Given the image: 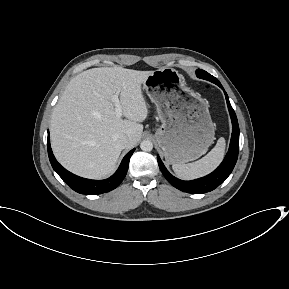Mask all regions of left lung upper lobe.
I'll use <instances>...</instances> for the list:
<instances>
[{"label": "left lung upper lobe", "instance_id": "obj_1", "mask_svg": "<svg viewBox=\"0 0 289 289\" xmlns=\"http://www.w3.org/2000/svg\"><path fill=\"white\" fill-rule=\"evenodd\" d=\"M196 75H197V77L205 79V80H208V81H210L212 83H215L218 86L220 84V82L214 76L210 75L209 73H207L204 70L198 69L196 71Z\"/></svg>", "mask_w": 289, "mask_h": 289}]
</instances>
